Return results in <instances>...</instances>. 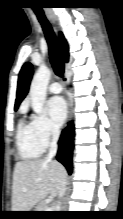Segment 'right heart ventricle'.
<instances>
[{
  "label": "right heart ventricle",
  "instance_id": "e07e8e85",
  "mask_svg": "<svg viewBox=\"0 0 123 219\" xmlns=\"http://www.w3.org/2000/svg\"><path fill=\"white\" fill-rule=\"evenodd\" d=\"M17 147L19 155L25 160H32L40 157L44 147L39 142L33 126L21 120L17 128Z\"/></svg>",
  "mask_w": 123,
  "mask_h": 219
}]
</instances>
